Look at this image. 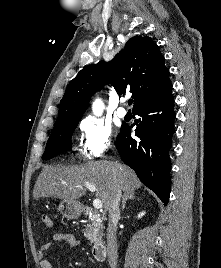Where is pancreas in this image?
<instances>
[{
  "label": "pancreas",
  "instance_id": "pancreas-1",
  "mask_svg": "<svg viewBox=\"0 0 221 268\" xmlns=\"http://www.w3.org/2000/svg\"><path fill=\"white\" fill-rule=\"evenodd\" d=\"M103 235V225L100 218L92 214L89 223L86 225L85 237L90 243H95Z\"/></svg>",
  "mask_w": 221,
  "mask_h": 268
}]
</instances>
